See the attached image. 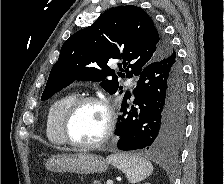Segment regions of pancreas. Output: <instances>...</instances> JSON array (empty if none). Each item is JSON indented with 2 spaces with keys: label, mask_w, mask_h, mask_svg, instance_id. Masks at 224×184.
Returning a JSON list of instances; mask_svg holds the SVG:
<instances>
[{
  "label": "pancreas",
  "mask_w": 224,
  "mask_h": 184,
  "mask_svg": "<svg viewBox=\"0 0 224 184\" xmlns=\"http://www.w3.org/2000/svg\"><path fill=\"white\" fill-rule=\"evenodd\" d=\"M93 184H100L98 181H94V183Z\"/></svg>",
  "instance_id": "cf45deb5"
}]
</instances>
